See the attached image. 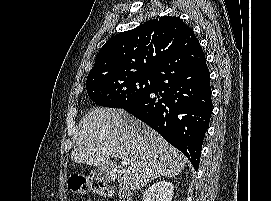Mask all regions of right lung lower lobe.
<instances>
[{
  "label": "right lung lower lobe",
  "instance_id": "1",
  "mask_svg": "<svg viewBox=\"0 0 271 201\" xmlns=\"http://www.w3.org/2000/svg\"><path fill=\"white\" fill-rule=\"evenodd\" d=\"M209 78L205 54L190 34L156 70L153 86L120 108L161 134L197 170L213 106Z\"/></svg>",
  "mask_w": 271,
  "mask_h": 201
}]
</instances>
